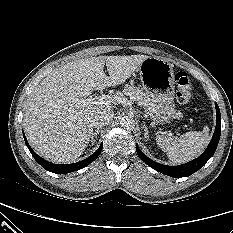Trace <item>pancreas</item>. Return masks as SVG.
<instances>
[{
    "mask_svg": "<svg viewBox=\"0 0 233 233\" xmlns=\"http://www.w3.org/2000/svg\"><path fill=\"white\" fill-rule=\"evenodd\" d=\"M122 95L129 96L131 99L136 101L137 104L140 106H145L151 112L152 118L154 119L158 118V113L155 108L156 105L152 103L149 96L145 92L140 90L139 87L127 84L123 89Z\"/></svg>",
    "mask_w": 233,
    "mask_h": 233,
    "instance_id": "pancreas-1",
    "label": "pancreas"
}]
</instances>
